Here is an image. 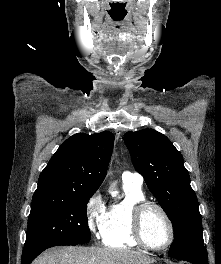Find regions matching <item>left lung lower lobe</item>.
<instances>
[{"mask_svg":"<svg viewBox=\"0 0 221 264\" xmlns=\"http://www.w3.org/2000/svg\"><path fill=\"white\" fill-rule=\"evenodd\" d=\"M168 255L192 264H208L207 250L204 246H186L172 249L168 252Z\"/></svg>","mask_w":221,"mask_h":264,"instance_id":"obj_1","label":"left lung lower lobe"}]
</instances>
